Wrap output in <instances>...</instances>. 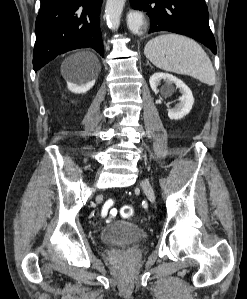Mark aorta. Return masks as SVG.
Wrapping results in <instances>:
<instances>
[{"label":"aorta","instance_id":"aorta-1","mask_svg":"<svg viewBox=\"0 0 247 299\" xmlns=\"http://www.w3.org/2000/svg\"><path fill=\"white\" fill-rule=\"evenodd\" d=\"M126 0H107L105 6V16L108 26L117 30L120 25L121 13Z\"/></svg>","mask_w":247,"mask_h":299}]
</instances>
